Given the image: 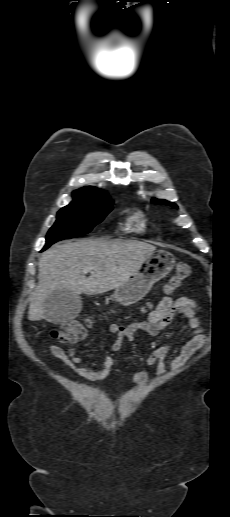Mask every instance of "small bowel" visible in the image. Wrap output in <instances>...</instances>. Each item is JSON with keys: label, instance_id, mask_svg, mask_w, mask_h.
Segmentation results:
<instances>
[{"label": "small bowel", "instance_id": "1", "mask_svg": "<svg viewBox=\"0 0 230 517\" xmlns=\"http://www.w3.org/2000/svg\"><path fill=\"white\" fill-rule=\"evenodd\" d=\"M198 306L196 302L187 296L179 298L164 297L155 309L148 313L145 320H133L127 324L112 323L109 325V332L116 336V341L112 345L113 351H118L121 347L123 339L133 340L134 334L138 331L145 332L150 336H157L164 331L172 317L178 315L184 322L180 334L186 331L190 332V337L182 346L178 355L171 362V369L177 370L182 367L193 355H195L204 345L206 338L200 327V322L196 316ZM172 344H165L152 351L146 358V366H156V372L159 376L166 372L164 360L171 352ZM77 347L64 348L60 345L53 344L50 347V355L67 367L77 372L87 381H94L106 377L114 368L115 361L111 356L102 357V366L97 369L95 367H79L78 363L81 359L77 356ZM147 379V373L144 369L137 371L133 377L134 384H144Z\"/></svg>", "mask_w": 230, "mask_h": 517}]
</instances>
